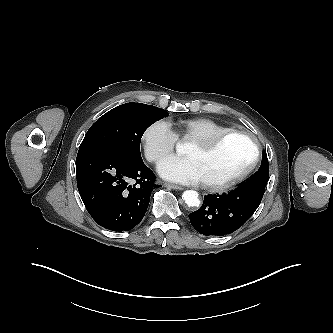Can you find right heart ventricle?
Here are the masks:
<instances>
[{"label": "right heart ventricle", "mask_w": 333, "mask_h": 333, "mask_svg": "<svg viewBox=\"0 0 333 333\" xmlns=\"http://www.w3.org/2000/svg\"><path fill=\"white\" fill-rule=\"evenodd\" d=\"M175 127L176 135L189 141L212 137L230 130L229 127L209 118L181 119L175 122Z\"/></svg>", "instance_id": "right-heart-ventricle-1"}]
</instances>
